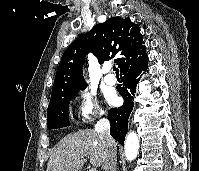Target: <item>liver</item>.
<instances>
[{
    "label": "liver",
    "instance_id": "obj_1",
    "mask_svg": "<svg viewBox=\"0 0 199 171\" xmlns=\"http://www.w3.org/2000/svg\"><path fill=\"white\" fill-rule=\"evenodd\" d=\"M90 156V163L95 167L104 165L107 146L95 130H78L67 135L54 148L49 159L47 171H79Z\"/></svg>",
    "mask_w": 199,
    "mask_h": 171
}]
</instances>
